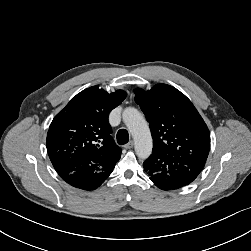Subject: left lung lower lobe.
<instances>
[{"label": "left lung lower lobe", "instance_id": "obj_1", "mask_svg": "<svg viewBox=\"0 0 251 251\" xmlns=\"http://www.w3.org/2000/svg\"><path fill=\"white\" fill-rule=\"evenodd\" d=\"M204 165L205 162L189 157L152 152L143 167L157 187L171 190L191 183Z\"/></svg>", "mask_w": 251, "mask_h": 251}]
</instances>
